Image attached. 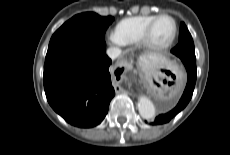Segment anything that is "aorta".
I'll return each instance as SVG.
<instances>
[{"mask_svg": "<svg viewBox=\"0 0 230 155\" xmlns=\"http://www.w3.org/2000/svg\"><path fill=\"white\" fill-rule=\"evenodd\" d=\"M138 110L142 118L150 120L155 115V107L150 99L141 96L138 100Z\"/></svg>", "mask_w": 230, "mask_h": 155, "instance_id": "762f6f07", "label": "aorta"}]
</instances>
